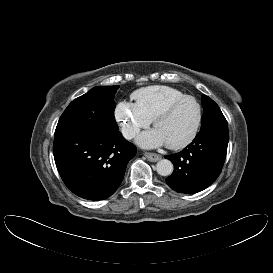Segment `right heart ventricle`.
I'll list each match as a JSON object with an SVG mask.
<instances>
[{"label": "right heart ventricle", "instance_id": "1", "mask_svg": "<svg viewBox=\"0 0 273 273\" xmlns=\"http://www.w3.org/2000/svg\"><path fill=\"white\" fill-rule=\"evenodd\" d=\"M185 94L180 90L163 85H153L141 88L132 94L135 105L150 120L168 103Z\"/></svg>", "mask_w": 273, "mask_h": 273}]
</instances>
